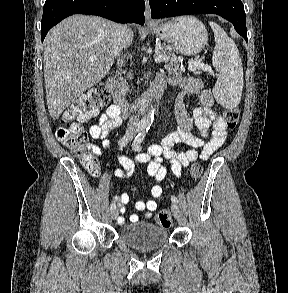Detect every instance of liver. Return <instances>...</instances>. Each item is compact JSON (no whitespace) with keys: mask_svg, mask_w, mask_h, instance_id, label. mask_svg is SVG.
Wrapping results in <instances>:
<instances>
[{"mask_svg":"<svg viewBox=\"0 0 288 293\" xmlns=\"http://www.w3.org/2000/svg\"><path fill=\"white\" fill-rule=\"evenodd\" d=\"M116 27L101 17L76 14L49 31L44 41V79L54 120L108 74L115 59ZM133 36L127 26L123 49L131 45ZM91 56L96 58L90 60Z\"/></svg>","mask_w":288,"mask_h":293,"instance_id":"1","label":"liver"}]
</instances>
